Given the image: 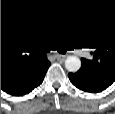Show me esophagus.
Instances as JSON below:
<instances>
[{
	"label": "esophagus",
	"instance_id": "obj_1",
	"mask_svg": "<svg viewBox=\"0 0 115 114\" xmlns=\"http://www.w3.org/2000/svg\"><path fill=\"white\" fill-rule=\"evenodd\" d=\"M56 59H57L58 61H60V62H63V61L66 59V56H64V55H58V56L56 57Z\"/></svg>",
	"mask_w": 115,
	"mask_h": 114
}]
</instances>
